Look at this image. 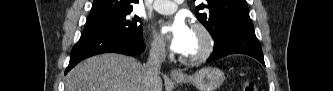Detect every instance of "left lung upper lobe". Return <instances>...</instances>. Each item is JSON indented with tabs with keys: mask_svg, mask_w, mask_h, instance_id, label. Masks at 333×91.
Masks as SVG:
<instances>
[{
	"mask_svg": "<svg viewBox=\"0 0 333 91\" xmlns=\"http://www.w3.org/2000/svg\"><path fill=\"white\" fill-rule=\"evenodd\" d=\"M196 9L208 10V13L197 12L196 16L213 39L230 26L251 22L246 0H207L206 4H200Z\"/></svg>",
	"mask_w": 333,
	"mask_h": 91,
	"instance_id": "1",
	"label": "left lung upper lobe"
}]
</instances>
